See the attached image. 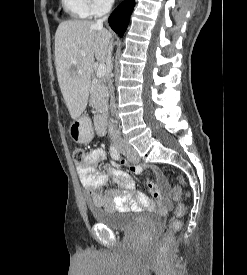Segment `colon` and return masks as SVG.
I'll list each match as a JSON object with an SVG mask.
<instances>
[{"label":"colon","mask_w":247,"mask_h":275,"mask_svg":"<svg viewBox=\"0 0 247 275\" xmlns=\"http://www.w3.org/2000/svg\"><path fill=\"white\" fill-rule=\"evenodd\" d=\"M85 158V153L83 149L81 148H76L73 152V159L76 163L80 164ZM180 182L183 183V179L180 178ZM181 195H182V190L179 187H175L173 189V196L174 199L177 201V207L175 210V218L172 219L169 223L168 230L164 234L162 241H161V247L162 249H167L173 240V236L175 233H177L181 227H182V221L181 218L184 215V206L181 202Z\"/></svg>","instance_id":"1"}]
</instances>
